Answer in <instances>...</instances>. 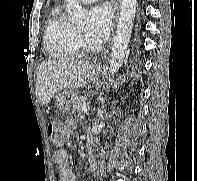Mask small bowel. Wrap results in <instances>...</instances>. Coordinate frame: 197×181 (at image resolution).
<instances>
[{
	"mask_svg": "<svg viewBox=\"0 0 197 181\" xmlns=\"http://www.w3.org/2000/svg\"><path fill=\"white\" fill-rule=\"evenodd\" d=\"M67 127L72 128L73 122L70 121ZM53 161L58 168L60 181H75V175L70 167V161L66 150H56L53 154Z\"/></svg>",
	"mask_w": 197,
	"mask_h": 181,
	"instance_id": "1",
	"label": "small bowel"
}]
</instances>
